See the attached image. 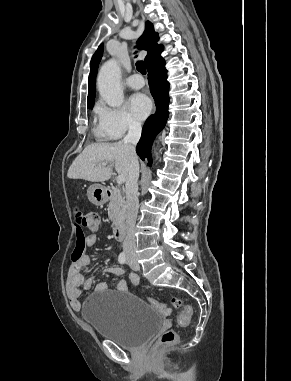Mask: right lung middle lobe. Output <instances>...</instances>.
Masks as SVG:
<instances>
[{
    "instance_id": "right-lung-middle-lobe-1",
    "label": "right lung middle lobe",
    "mask_w": 291,
    "mask_h": 381,
    "mask_svg": "<svg viewBox=\"0 0 291 381\" xmlns=\"http://www.w3.org/2000/svg\"><path fill=\"white\" fill-rule=\"evenodd\" d=\"M93 105H94V103H91V104H88L87 107H88V108H92Z\"/></svg>"
}]
</instances>
